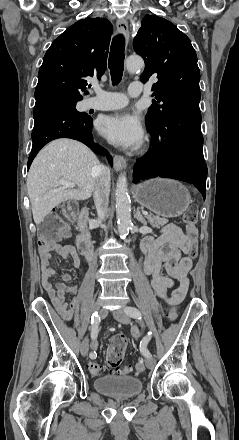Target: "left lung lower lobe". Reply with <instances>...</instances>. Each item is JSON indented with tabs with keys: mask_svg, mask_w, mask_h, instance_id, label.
Listing matches in <instances>:
<instances>
[{
	"mask_svg": "<svg viewBox=\"0 0 239 440\" xmlns=\"http://www.w3.org/2000/svg\"><path fill=\"white\" fill-rule=\"evenodd\" d=\"M199 108L181 107L148 128L152 149L134 166V180L167 177L193 183L206 197L207 166L203 158V136Z\"/></svg>",
	"mask_w": 239,
	"mask_h": 440,
	"instance_id": "obj_1",
	"label": "left lung lower lobe"
}]
</instances>
